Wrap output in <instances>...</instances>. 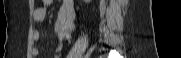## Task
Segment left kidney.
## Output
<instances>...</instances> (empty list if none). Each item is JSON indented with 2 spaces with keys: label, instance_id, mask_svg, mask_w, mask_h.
<instances>
[{
  "label": "left kidney",
  "instance_id": "obj_1",
  "mask_svg": "<svg viewBox=\"0 0 181 58\" xmlns=\"http://www.w3.org/2000/svg\"><path fill=\"white\" fill-rule=\"evenodd\" d=\"M91 0H85V2H90Z\"/></svg>",
  "mask_w": 181,
  "mask_h": 58
}]
</instances>
